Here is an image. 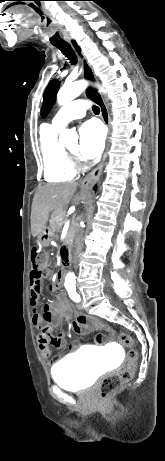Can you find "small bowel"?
<instances>
[{"label": "small bowel", "mask_w": 165, "mask_h": 461, "mask_svg": "<svg viewBox=\"0 0 165 461\" xmlns=\"http://www.w3.org/2000/svg\"><path fill=\"white\" fill-rule=\"evenodd\" d=\"M64 277L63 271H56V280L49 286V291H55L62 284V278ZM42 289L41 281L38 285L30 279V305L33 308L32 324L39 330L37 335V344L42 356L49 360L50 364L56 365L61 359L59 356H52L53 347L60 349L65 345V333L60 332L54 333L55 327L64 318L73 317L72 329L75 333L85 335L91 330L104 329L108 332V336H112V329L106 324L101 323L97 319H90L82 314H75L73 309L64 294H59L55 301L46 303L42 311L36 310V306L39 302L40 292ZM95 343H102L103 337L101 335L93 338ZM81 343L73 341L70 343L68 349L70 352L78 350ZM99 347L98 345L96 346Z\"/></svg>", "instance_id": "obj_1"}]
</instances>
